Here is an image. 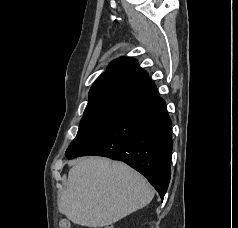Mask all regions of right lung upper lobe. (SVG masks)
Returning <instances> with one entry per match:
<instances>
[{
  "instance_id": "obj_1",
  "label": "right lung upper lobe",
  "mask_w": 238,
  "mask_h": 228,
  "mask_svg": "<svg viewBox=\"0 0 238 228\" xmlns=\"http://www.w3.org/2000/svg\"><path fill=\"white\" fill-rule=\"evenodd\" d=\"M157 97L147 72L135 59L122 57L111 62L95 81L84 113L123 115Z\"/></svg>"
}]
</instances>
